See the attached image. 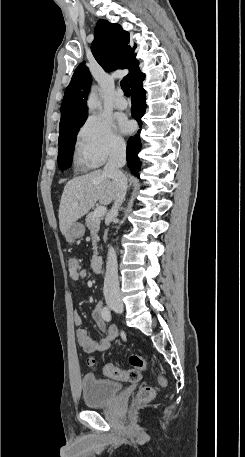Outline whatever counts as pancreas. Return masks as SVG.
<instances>
[{"instance_id":"cf45deb5","label":"pancreas","mask_w":245,"mask_h":457,"mask_svg":"<svg viewBox=\"0 0 245 457\" xmlns=\"http://www.w3.org/2000/svg\"><path fill=\"white\" fill-rule=\"evenodd\" d=\"M100 220L101 218H99V216H93V212H88L86 216V224L92 237L94 255H98L97 241H99L98 231L100 229Z\"/></svg>"}]
</instances>
